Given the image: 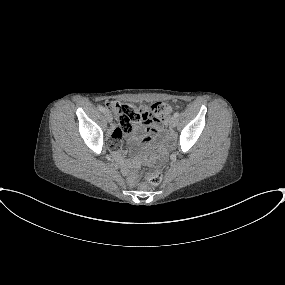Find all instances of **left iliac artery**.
<instances>
[{
    "instance_id": "1",
    "label": "left iliac artery",
    "mask_w": 285,
    "mask_h": 285,
    "mask_svg": "<svg viewBox=\"0 0 285 285\" xmlns=\"http://www.w3.org/2000/svg\"><path fill=\"white\" fill-rule=\"evenodd\" d=\"M179 116V112L174 113V117L177 118Z\"/></svg>"
}]
</instances>
